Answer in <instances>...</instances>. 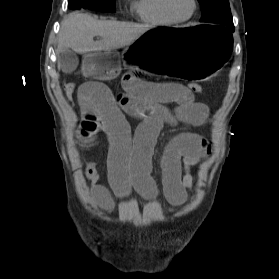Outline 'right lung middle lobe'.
Returning <instances> with one entry per match:
<instances>
[{"label": "right lung middle lobe", "instance_id": "right-lung-middle-lobe-1", "mask_svg": "<svg viewBox=\"0 0 279 279\" xmlns=\"http://www.w3.org/2000/svg\"><path fill=\"white\" fill-rule=\"evenodd\" d=\"M116 0H69L70 9L88 8L97 11L115 12Z\"/></svg>", "mask_w": 279, "mask_h": 279}]
</instances>
